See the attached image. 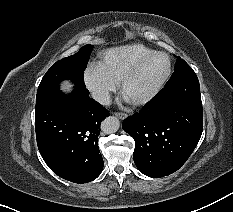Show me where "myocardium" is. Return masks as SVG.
Listing matches in <instances>:
<instances>
[{
    "instance_id": "myocardium-1",
    "label": "myocardium",
    "mask_w": 233,
    "mask_h": 212,
    "mask_svg": "<svg viewBox=\"0 0 233 212\" xmlns=\"http://www.w3.org/2000/svg\"><path fill=\"white\" fill-rule=\"evenodd\" d=\"M155 56H164L167 59V70L163 77L159 80V82L144 96L138 99L129 100L130 103L134 106H142L150 102L163 88L167 80L169 79L172 71V64L170 57L160 51H154L140 60H138L122 77L120 81V89L121 92L124 94L125 88L127 84L137 75V73L140 71V69L153 57Z\"/></svg>"
}]
</instances>
